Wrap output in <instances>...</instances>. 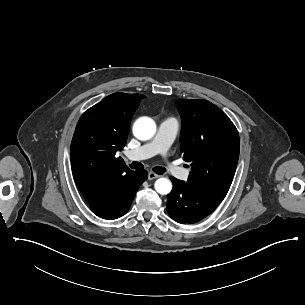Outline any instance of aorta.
<instances>
[{"mask_svg": "<svg viewBox=\"0 0 305 305\" xmlns=\"http://www.w3.org/2000/svg\"><path fill=\"white\" fill-rule=\"evenodd\" d=\"M156 132V124L149 117H141L133 125L134 136L142 141L151 139ZM157 193L167 195L172 190V183L167 178H159L154 184Z\"/></svg>", "mask_w": 305, "mask_h": 305, "instance_id": "1", "label": "aorta"}]
</instances>
